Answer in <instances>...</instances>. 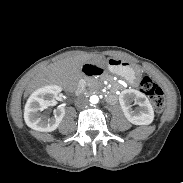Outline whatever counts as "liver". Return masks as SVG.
I'll return each instance as SVG.
<instances>
[{"mask_svg":"<svg viewBox=\"0 0 183 183\" xmlns=\"http://www.w3.org/2000/svg\"><path fill=\"white\" fill-rule=\"evenodd\" d=\"M89 58L90 56L85 54L69 57L50 65L45 72L31 83L28 93L45 84L67 85L76 82L80 78L82 65Z\"/></svg>","mask_w":183,"mask_h":183,"instance_id":"liver-1","label":"liver"}]
</instances>
